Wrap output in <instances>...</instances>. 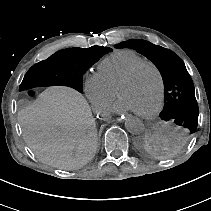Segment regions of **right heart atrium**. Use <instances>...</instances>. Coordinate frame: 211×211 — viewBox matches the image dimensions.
Returning <instances> with one entry per match:
<instances>
[{
	"mask_svg": "<svg viewBox=\"0 0 211 211\" xmlns=\"http://www.w3.org/2000/svg\"><path fill=\"white\" fill-rule=\"evenodd\" d=\"M84 91L93 109L98 113L105 112L115 97V91L103 81L98 73L92 74L85 80Z\"/></svg>",
	"mask_w": 211,
	"mask_h": 211,
	"instance_id": "obj_1",
	"label": "right heart atrium"
}]
</instances>
